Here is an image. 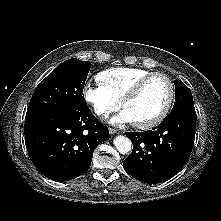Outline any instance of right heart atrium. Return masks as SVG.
Segmentation results:
<instances>
[{"label":"right heart atrium","instance_id":"d8ad5b80","mask_svg":"<svg viewBox=\"0 0 221 221\" xmlns=\"http://www.w3.org/2000/svg\"><path fill=\"white\" fill-rule=\"evenodd\" d=\"M83 98L92 107L94 113L101 118H106L121 105L100 84L87 83L83 88Z\"/></svg>","mask_w":221,"mask_h":221}]
</instances>
